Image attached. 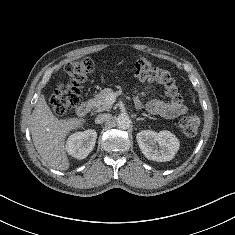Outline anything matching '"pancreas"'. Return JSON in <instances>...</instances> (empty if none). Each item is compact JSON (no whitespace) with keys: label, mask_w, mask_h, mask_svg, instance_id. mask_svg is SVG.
Here are the masks:
<instances>
[{"label":"pancreas","mask_w":235,"mask_h":235,"mask_svg":"<svg viewBox=\"0 0 235 235\" xmlns=\"http://www.w3.org/2000/svg\"><path fill=\"white\" fill-rule=\"evenodd\" d=\"M111 93H113L112 89L105 88L101 90V92L98 95L92 98L89 102L91 106L93 107V110H95L96 112L109 110L112 107V104H110L107 101V98L109 97Z\"/></svg>","instance_id":"pancreas-1"}]
</instances>
